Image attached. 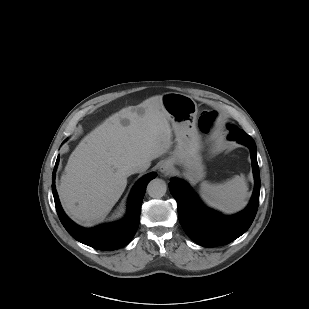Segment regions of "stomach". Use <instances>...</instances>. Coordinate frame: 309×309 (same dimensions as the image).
I'll return each mask as SVG.
<instances>
[{"mask_svg": "<svg viewBox=\"0 0 309 309\" xmlns=\"http://www.w3.org/2000/svg\"><path fill=\"white\" fill-rule=\"evenodd\" d=\"M163 109L172 124L176 146L169 161L181 164L185 176L191 183H196L205 176L202 163L201 137L197 129L198 107L188 95L169 92L162 95Z\"/></svg>", "mask_w": 309, "mask_h": 309, "instance_id": "1", "label": "stomach"}]
</instances>
